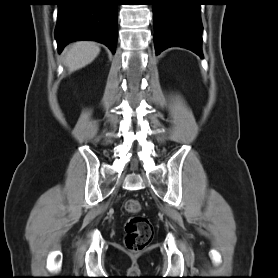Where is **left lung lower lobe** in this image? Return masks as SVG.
<instances>
[{"label": "left lung lower lobe", "instance_id": "1", "mask_svg": "<svg viewBox=\"0 0 278 278\" xmlns=\"http://www.w3.org/2000/svg\"><path fill=\"white\" fill-rule=\"evenodd\" d=\"M201 0H153L156 54L178 46L203 58Z\"/></svg>", "mask_w": 278, "mask_h": 278}]
</instances>
